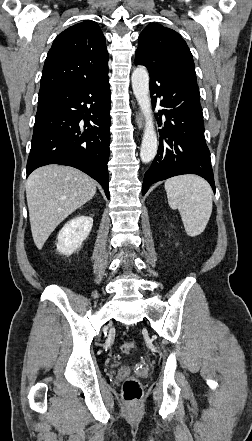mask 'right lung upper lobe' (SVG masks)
Segmentation results:
<instances>
[{"label":"right lung upper lobe","mask_w":252,"mask_h":441,"mask_svg":"<svg viewBox=\"0 0 252 441\" xmlns=\"http://www.w3.org/2000/svg\"><path fill=\"white\" fill-rule=\"evenodd\" d=\"M108 80V51L99 25L84 20L54 40L45 60L39 96L82 83Z\"/></svg>","instance_id":"cb5924a9"}]
</instances>
